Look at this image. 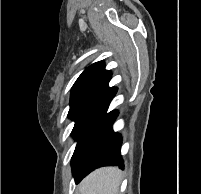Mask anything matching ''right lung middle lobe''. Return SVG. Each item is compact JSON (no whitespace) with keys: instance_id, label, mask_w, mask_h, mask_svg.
I'll return each mask as SVG.
<instances>
[{"instance_id":"obj_1","label":"right lung middle lobe","mask_w":201,"mask_h":194,"mask_svg":"<svg viewBox=\"0 0 201 194\" xmlns=\"http://www.w3.org/2000/svg\"><path fill=\"white\" fill-rule=\"evenodd\" d=\"M87 104V102L70 104V110L68 113L69 118L75 120Z\"/></svg>"}]
</instances>
